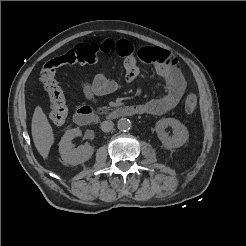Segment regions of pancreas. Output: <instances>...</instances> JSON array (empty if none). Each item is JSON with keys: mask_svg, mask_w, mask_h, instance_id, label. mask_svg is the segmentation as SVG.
<instances>
[{"mask_svg": "<svg viewBox=\"0 0 246 246\" xmlns=\"http://www.w3.org/2000/svg\"><path fill=\"white\" fill-rule=\"evenodd\" d=\"M98 111H102L103 113H106L109 111V107H107V106L100 107V108H98Z\"/></svg>", "mask_w": 246, "mask_h": 246, "instance_id": "pancreas-1", "label": "pancreas"}]
</instances>
